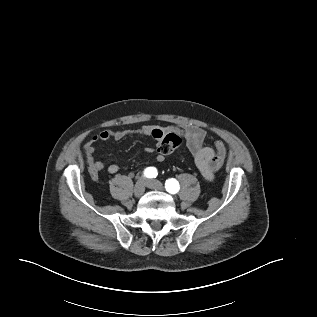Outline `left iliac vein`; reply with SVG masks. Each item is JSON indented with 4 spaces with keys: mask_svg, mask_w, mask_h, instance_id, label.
<instances>
[{
    "mask_svg": "<svg viewBox=\"0 0 317 317\" xmlns=\"http://www.w3.org/2000/svg\"><path fill=\"white\" fill-rule=\"evenodd\" d=\"M146 186L150 189H154V190H162L163 189V185L161 182H159L158 180H147L146 181Z\"/></svg>",
    "mask_w": 317,
    "mask_h": 317,
    "instance_id": "obj_1",
    "label": "left iliac vein"
}]
</instances>
